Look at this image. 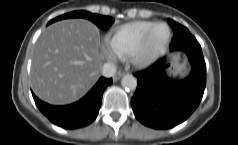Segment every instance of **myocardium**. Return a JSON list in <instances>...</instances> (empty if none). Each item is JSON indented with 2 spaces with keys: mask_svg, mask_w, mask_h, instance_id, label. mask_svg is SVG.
Masks as SVG:
<instances>
[{
  "mask_svg": "<svg viewBox=\"0 0 238 145\" xmlns=\"http://www.w3.org/2000/svg\"><path fill=\"white\" fill-rule=\"evenodd\" d=\"M163 26L167 30V35L164 41L155 49H150L149 44L154 30L157 27ZM171 40L170 27L164 22L154 23L143 35L137 46L129 53L128 59L132 65L144 68L153 64L165 51Z\"/></svg>",
  "mask_w": 238,
  "mask_h": 145,
  "instance_id": "1",
  "label": "myocardium"
}]
</instances>
